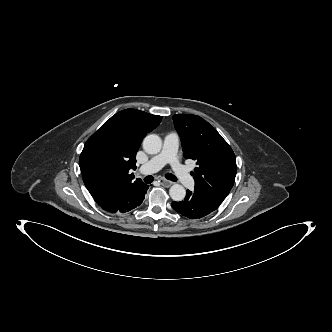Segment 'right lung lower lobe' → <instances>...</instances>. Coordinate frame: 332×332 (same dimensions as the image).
Instances as JSON below:
<instances>
[{"instance_id": "obj_1", "label": "right lung lower lobe", "mask_w": 332, "mask_h": 332, "mask_svg": "<svg viewBox=\"0 0 332 332\" xmlns=\"http://www.w3.org/2000/svg\"><path fill=\"white\" fill-rule=\"evenodd\" d=\"M148 188V185L140 183L117 197L104 199L97 203L110 213H126L142 203Z\"/></svg>"}]
</instances>
